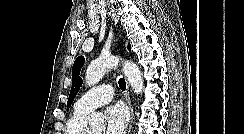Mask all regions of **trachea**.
Listing matches in <instances>:
<instances>
[{
	"label": "trachea",
	"instance_id": "3493384b",
	"mask_svg": "<svg viewBox=\"0 0 244 134\" xmlns=\"http://www.w3.org/2000/svg\"><path fill=\"white\" fill-rule=\"evenodd\" d=\"M118 83H119L120 89L122 91H124L126 89V82H125V80L123 78H120L119 81H118Z\"/></svg>",
	"mask_w": 244,
	"mask_h": 134
}]
</instances>
